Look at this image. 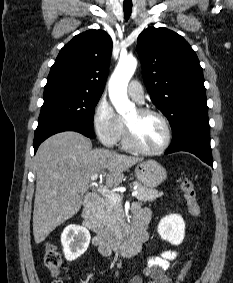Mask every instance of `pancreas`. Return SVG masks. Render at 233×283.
<instances>
[{
	"instance_id": "1",
	"label": "pancreas",
	"mask_w": 233,
	"mask_h": 283,
	"mask_svg": "<svg viewBox=\"0 0 233 283\" xmlns=\"http://www.w3.org/2000/svg\"><path fill=\"white\" fill-rule=\"evenodd\" d=\"M133 186L136 187L138 194L136 198L139 201H153L158 197L163 196V192L156 189L143 186L141 183L135 181ZM100 220L103 225L116 236L122 234L123 231V207L120 201H112L105 198L98 212Z\"/></svg>"
}]
</instances>
